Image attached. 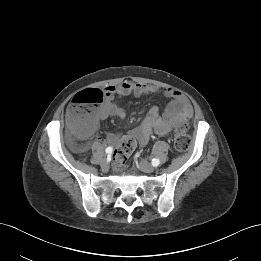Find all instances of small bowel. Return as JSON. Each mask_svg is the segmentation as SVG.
I'll return each mask as SVG.
<instances>
[{
    "instance_id": "obj_1",
    "label": "small bowel",
    "mask_w": 261,
    "mask_h": 261,
    "mask_svg": "<svg viewBox=\"0 0 261 261\" xmlns=\"http://www.w3.org/2000/svg\"><path fill=\"white\" fill-rule=\"evenodd\" d=\"M156 93H162L169 99V103L161 115L158 107L153 105L149 108V111L141 124L132 129L128 134L121 135L118 133H110L100 138V141L104 144L117 145L124 137H131L139 146H144L153 133L158 136L170 135L176 122L187 120L193 114V109L185 96L172 88H159L158 86L151 84L124 81L118 85H110L105 89V99L103 103L96 108L93 125L85 133V136H91L95 132L100 121L110 117L118 119H123L125 117V110L119 105L117 98L131 94L141 97ZM73 148L76 151H84L87 149V146L73 145Z\"/></svg>"
}]
</instances>
